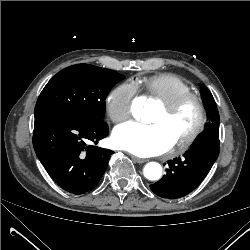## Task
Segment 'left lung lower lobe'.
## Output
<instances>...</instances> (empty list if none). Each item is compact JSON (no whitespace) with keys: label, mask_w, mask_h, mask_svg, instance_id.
<instances>
[{"label":"left lung lower lobe","mask_w":250,"mask_h":250,"mask_svg":"<svg viewBox=\"0 0 250 250\" xmlns=\"http://www.w3.org/2000/svg\"><path fill=\"white\" fill-rule=\"evenodd\" d=\"M218 129L201 133L182 158L168 162L167 174L150 185L158 196L169 199L180 198L194 190L210 171L219 155Z\"/></svg>","instance_id":"0a47b994"}]
</instances>
